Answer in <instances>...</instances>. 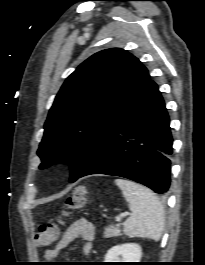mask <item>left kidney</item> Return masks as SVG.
Here are the masks:
<instances>
[{"label":"left kidney","instance_id":"left-kidney-1","mask_svg":"<svg viewBox=\"0 0 205 265\" xmlns=\"http://www.w3.org/2000/svg\"><path fill=\"white\" fill-rule=\"evenodd\" d=\"M141 257L139 244L126 243L110 248L105 255V262H140Z\"/></svg>","mask_w":205,"mask_h":265}]
</instances>
